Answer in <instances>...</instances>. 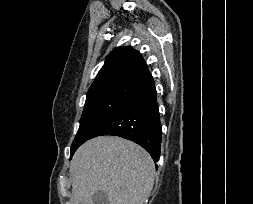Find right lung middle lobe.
Segmentation results:
<instances>
[{
    "mask_svg": "<svg viewBox=\"0 0 253 204\" xmlns=\"http://www.w3.org/2000/svg\"><path fill=\"white\" fill-rule=\"evenodd\" d=\"M137 85V82L121 81L88 91L80 127L71 145V157Z\"/></svg>",
    "mask_w": 253,
    "mask_h": 204,
    "instance_id": "right-lung-middle-lobe-1",
    "label": "right lung middle lobe"
}]
</instances>
